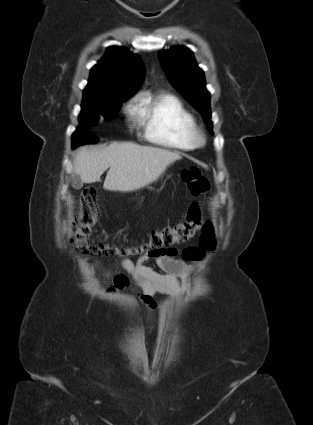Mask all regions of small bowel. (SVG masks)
Returning a JSON list of instances; mask_svg holds the SVG:
<instances>
[{
  "label": "small bowel",
  "mask_w": 313,
  "mask_h": 425,
  "mask_svg": "<svg viewBox=\"0 0 313 425\" xmlns=\"http://www.w3.org/2000/svg\"><path fill=\"white\" fill-rule=\"evenodd\" d=\"M177 251L168 250L158 255L145 254L136 262L130 259L122 260V267L126 274H117L113 285L108 291L124 289L130 284V279L137 288L138 297L146 308L154 309L157 306L155 295L180 294L190 288L191 267L182 260L173 258ZM152 259L162 272L145 265ZM130 277V279L128 278Z\"/></svg>",
  "instance_id": "c3829d8e"
}]
</instances>
